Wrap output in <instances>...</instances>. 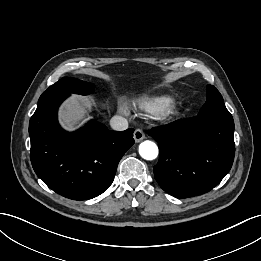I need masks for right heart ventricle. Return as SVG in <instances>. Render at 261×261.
<instances>
[{"label":"right heart ventricle","mask_w":261,"mask_h":261,"mask_svg":"<svg viewBox=\"0 0 261 261\" xmlns=\"http://www.w3.org/2000/svg\"><path fill=\"white\" fill-rule=\"evenodd\" d=\"M170 103V98L166 96L144 97L136 101V105L146 112H159Z\"/></svg>","instance_id":"e07e8e85"}]
</instances>
